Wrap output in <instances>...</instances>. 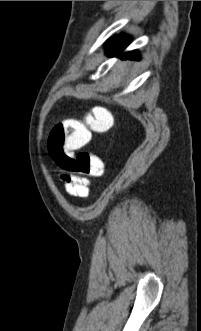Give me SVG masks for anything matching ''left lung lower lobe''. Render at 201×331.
<instances>
[{"label":"left lung lower lobe","instance_id":"left-lung-lower-lobe-1","mask_svg":"<svg viewBox=\"0 0 201 331\" xmlns=\"http://www.w3.org/2000/svg\"><path fill=\"white\" fill-rule=\"evenodd\" d=\"M130 38L124 35L121 36H116L113 39H111L107 47L109 48L108 55L109 56H116L118 55L121 51L124 50V48L129 44ZM116 47V49L114 48ZM121 59H135L139 60V55L137 54L136 51H131L124 53L120 56Z\"/></svg>","mask_w":201,"mask_h":331}]
</instances>
